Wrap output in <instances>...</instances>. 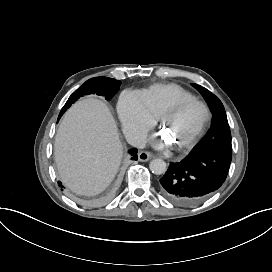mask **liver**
I'll use <instances>...</instances> for the list:
<instances>
[{
    "instance_id": "liver-1",
    "label": "liver",
    "mask_w": 272,
    "mask_h": 272,
    "mask_svg": "<svg viewBox=\"0 0 272 272\" xmlns=\"http://www.w3.org/2000/svg\"><path fill=\"white\" fill-rule=\"evenodd\" d=\"M121 155L117 126L106 105L94 98L73 105L55 141L63 183L78 194H98L117 173Z\"/></svg>"
}]
</instances>
